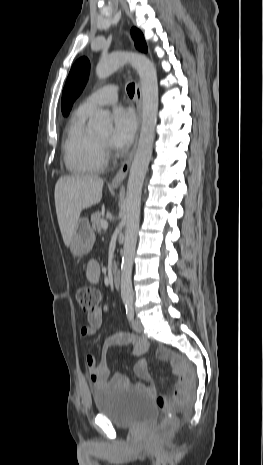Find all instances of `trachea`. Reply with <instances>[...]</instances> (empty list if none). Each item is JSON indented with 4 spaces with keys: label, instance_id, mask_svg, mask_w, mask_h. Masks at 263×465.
Wrapping results in <instances>:
<instances>
[{
    "label": "trachea",
    "instance_id": "trachea-1",
    "mask_svg": "<svg viewBox=\"0 0 263 465\" xmlns=\"http://www.w3.org/2000/svg\"><path fill=\"white\" fill-rule=\"evenodd\" d=\"M134 92H135V84L131 83L127 86V93L130 97H133Z\"/></svg>",
    "mask_w": 263,
    "mask_h": 465
}]
</instances>
